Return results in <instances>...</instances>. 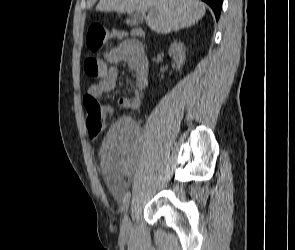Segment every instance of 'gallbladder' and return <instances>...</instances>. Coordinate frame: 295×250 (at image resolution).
I'll use <instances>...</instances> for the list:
<instances>
[{
	"mask_svg": "<svg viewBox=\"0 0 295 250\" xmlns=\"http://www.w3.org/2000/svg\"><path fill=\"white\" fill-rule=\"evenodd\" d=\"M143 21V17L139 12H135L128 19H126V23L129 25H137Z\"/></svg>",
	"mask_w": 295,
	"mask_h": 250,
	"instance_id": "gallbladder-1",
	"label": "gallbladder"
}]
</instances>
